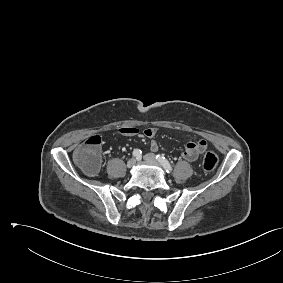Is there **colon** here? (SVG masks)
I'll return each mask as SVG.
<instances>
[{
  "label": "colon",
  "instance_id": "5ec220e1",
  "mask_svg": "<svg viewBox=\"0 0 283 283\" xmlns=\"http://www.w3.org/2000/svg\"><path fill=\"white\" fill-rule=\"evenodd\" d=\"M100 144L101 138L99 136H91L74 153L77 164L89 174H95L99 169ZM217 164L216 153L208 151L204 154L202 166L205 170L211 171L216 168Z\"/></svg>",
  "mask_w": 283,
  "mask_h": 283
}]
</instances>
